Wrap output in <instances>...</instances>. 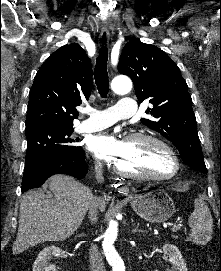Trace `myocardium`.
<instances>
[{"label":"myocardium","mask_w":221,"mask_h":271,"mask_svg":"<svg viewBox=\"0 0 221 271\" xmlns=\"http://www.w3.org/2000/svg\"><path fill=\"white\" fill-rule=\"evenodd\" d=\"M163 140H169L166 137L147 129L141 133H129L128 137L125 138L126 142H132L131 145H134L135 142H139L138 150H163L162 154L165 155L159 161L161 164H166L170 167V170L165 173L153 174L149 172L145 173H136L134 170H122L123 166L119 165V161L115 158H109L108 168L111 171H115V175H122L124 179H135V178H152V183H163V178H173L181 170L179 165H176V158L174 156L175 150H169L168 142H163Z\"/></svg>","instance_id":"obj_1"}]
</instances>
